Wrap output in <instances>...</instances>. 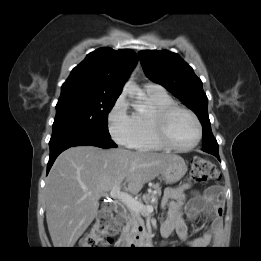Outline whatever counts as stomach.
<instances>
[{
	"instance_id": "1",
	"label": "stomach",
	"mask_w": 261,
	"mask_h": 261,
	"mask_svg": "<svg viewBox=\"0 0 261 261\" xmlns=\"http://www.w3.org/2000/svg\"><path fill=\"white\" fill-rule=\"evenodd\" d=\"M187 172V165L183 158L176 156L168 166L163 170L162 177L169 183L173 184L178 182Z\"/></svg>"
}]
</instances>
